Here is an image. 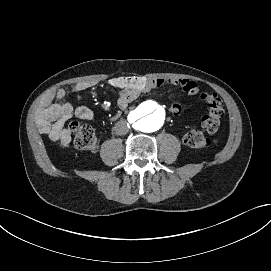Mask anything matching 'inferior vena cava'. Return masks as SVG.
<instances>
[{"label": "inferior vena cava", "instance_id": "obj_1", "mask_svg": "<svg viewBox=\"0 0 271 271\" xmlns=\"http://www.w3.org/2000/svg\"><path fill=\"white\" fill-rule=\"evenodd\" d=\"M112 129L116 135H125L128 133V126L124 120L116 122Z\"/></svg>", "mask_w": 271, "mask_h": 271}]
</instances>
